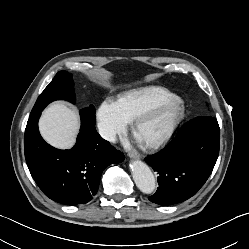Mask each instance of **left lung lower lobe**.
Instances as JSON below:
<instances>
[{
  "instance_id": "0a47b994",
  "label": "left lung lower lobe",
  "mask_w": 249,
  "mask_h": 249,
  "mask_svg": "<svg viewBox=\"0 0 249 249\" xmlns=\"http://www.w3.org/2000/svg\"><path fill=\"white\" fill-rule=\"evenodd\" d=\"M220 129L212 117L185 123L160 153L145 158L159 173V187L149 200L171 205L192 197L210 176L219 154Z\"/></svg>"
}]
</instances>
